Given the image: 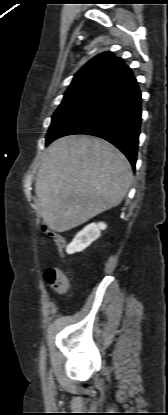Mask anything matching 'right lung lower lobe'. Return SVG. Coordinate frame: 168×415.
I'll return each mask as SVG.
<instances>
[{"instance_id": "1", "label": "right lung lower lobe", "mask_w": 168, "mask_h": 415, "mask_svg": "<svg viewBox=\"0 0 168 415\" xmlns=\"http://www.w3.org/2000/svg\"><path fill=\"white\" fill-rule=\"evenodd\" d=\"M141 92L131 72L109 86L73 115L46 145L72 134L103 138L117 148L135 168L141 125Z\"/></svg>"}]
</instances>
